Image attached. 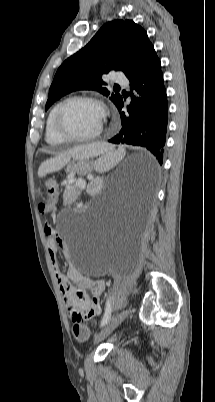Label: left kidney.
Instances as JSON below:
<instances>
[{
    "instance_id": "5707ae66",
    "label": "left kidney",
    "mask_w": 215,
    "mask_h": 402,
    "mask_svg": "<svg viewBox=\"0 0 215 402\" xmlns=\"http://www.w3.org/2000/svg\"><path fill=\"white\" fill-rule=\"evenodd\" d=\"M92 185L93 186H98L99 185V180L98 179H93L92 180Z\"/></svg>"
}]
</instances>
